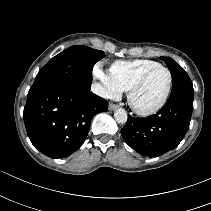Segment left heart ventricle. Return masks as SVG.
<instances>
[{
  "label": "left heart ventricle",
  "mask_w": 211,
  "mask_h": 211,
  "mask_svg": "<svg viewBox=\"0 0 211 211\" xmlns=\"http://www.w3.org/2000/svg\"><path fill=\"white\" fill-rule=\"evenodd\" d=\"M168 79L165 70L158 69L151 73L143 86L135 93L134 104L141 109H148L158 104L165 94Z\"/></svg>",
  "instance_id": "obj_1"
}]
</instances>
